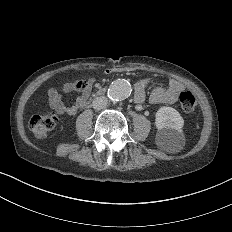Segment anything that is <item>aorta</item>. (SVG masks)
<instances>
[{"label":"aorta","mask_w":232,"mask_h":232,"mask_svg":"<svg viewBox=\"0 0 232 232\" xmlns=\"http://www.w3.org/2000/svg\"><path fill=\"white\" fill-rule=\"evenodd\" d=\"M131 85L124 79H117L112 82L108 89V97L113 101L124 100L131 94Z\"/></svg>","instance_id":"1"}]
</instances>
